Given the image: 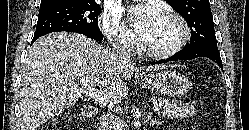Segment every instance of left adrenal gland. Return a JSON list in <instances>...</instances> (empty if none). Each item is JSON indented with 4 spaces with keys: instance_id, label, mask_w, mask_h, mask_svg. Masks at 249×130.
Listing matches in <instances>:
<instances>
[{
    "instance_id": "left-adrenal-gland-1",
    "label": "left adrenal gland",
    "mask_w": 249,
    "mask_h": 130,
    "mask_svg": "<svg viewBox=\"0 0 249 130\" xmlns=\"http://www.w3.org/2000/svg\"><path fill=\"white\" fill-rule=\"evenodd\" d=\"M149 120H150V124L152 125V126H154V125H160L161 124V122L159 121V120H157V119H151V116H149Z\"/></svg>"
}]
</instances>
